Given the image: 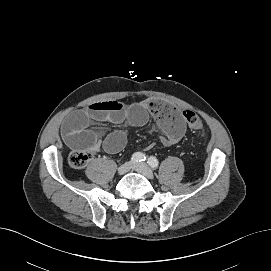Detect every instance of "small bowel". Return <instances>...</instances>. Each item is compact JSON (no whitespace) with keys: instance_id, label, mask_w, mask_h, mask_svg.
I'll return each mask as SVG.
<instances>
[{"instance_id":"c3829d8e","label":"small bowel","mask_w":271,"mask_h":271,"mask_svg":"<svg viewBox=\"0 0 271 271\" xmlns=\"http://www.w3.org/2000/svg\"><path fill=\"white\" fill-rule=\"evenodd\" d=\"M152 115L165 133L163 144H176L185 133L184 117L175 108L158 100H151L138 106L125 109L116 101L97 102L88 108L72 113L62 124V135L72 148L97 151L102 147L108 153L120 151L126 143V133L116 130L105 138L99 131L90 129L93 121H106L115 124L127 121L131 125L142 126Z\"/></svg>"}]
</instances>
